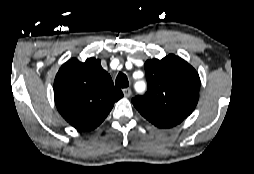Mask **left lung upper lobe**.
Returning <instances> with one entry per match:
<instances>
[{"label": "left lung upper lobe", "mask_w": 254, "mask_h": 174, "mask_svg": "<svg viewBox=\"0 0 254 174\" xmlns=\"http://www.w3.org/2000/svg\"><path fill=\"white\" fill-rule=\"evenodd\" d=\"M148 91L132 99L135 108L147 120L181 123L195 109L200 90L196 70L173 54L145 63Z\"/></svg>", "instance_id": "obj_1"}]
</instances>
